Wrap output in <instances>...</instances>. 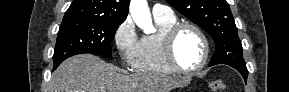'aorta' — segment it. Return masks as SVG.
<instances>
[{
	"label": "aorta",
	"instance_id": "obj_1",
	"mask_svg": "<svg viewBox=\"0 0 289 92\" xmlns=\"http://www.w3.org/2000/svg\"><path fill=\"white\" fill-rule=\"evenodd\" d=\"M129 10L138 27L142 28L145 33L153 32L152 18L146 0H132Z\"/></svg>",
	"mask_w": 289,
	"mask_h": 92
}]
</instances>
